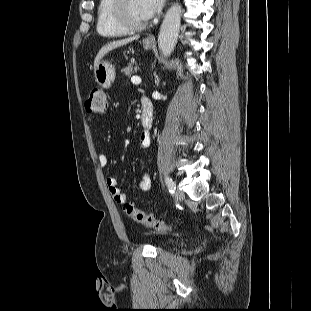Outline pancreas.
<instances>
[{
  "instance_id": "obj_1",
  "label": "pancreas",
  "mask_w": 311,
  "mask_h": 311,
  "mask_svg": "<svg viewBox=\"0 0 311 311\" xmlns=\"http://www.w3.org/2000/svg\"><path fill=\"white\" fill-rule=\"evenodd\" d=\"M138 66L135 65H128L127 67H125L124 69H122V72L125 73L126 76H131L133 73H136L138 71Z\"/></svg>"
}]
</instances>
